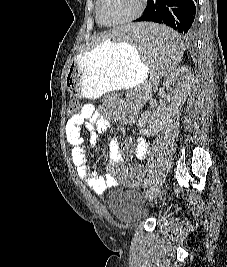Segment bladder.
Returning <instances> with one entry per match:
<instances>
[{"mask_svg":"<svg viewBox=\"0 0 227 267\" xmlns=\"http://www.w3.org/2000/svg\"><path fill=\"white\" fill-rule=\"evenodd\" d=\"M108 206L113 216L120 221L136 219L143 214L138 196L125 189L113 192L108 199Z\"/></svg>","mask_w":227,"mask_h":267,"instance_id":"31cf9c89","label":"bladder"}]
</instances>
